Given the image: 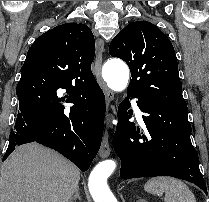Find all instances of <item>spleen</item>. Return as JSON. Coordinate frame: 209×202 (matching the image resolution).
Returning <instances> with one entry per match:
<instances>
[{"label": "spleen", "mask_w": 209, "mask_h": 202, "mask_svg": "<svg viewBox=\"0 0 209 202\" xmlns=\"http://www.w3.org/2000/svg\"><path fill=\"white\" fill-rule=\"evenodd\" d=\"M144 190L151 194H164V202H196L189 187L172 177L151 178L145 183Z\"/></svg>", "instance_id": "spleen-1"}]
</instances>
